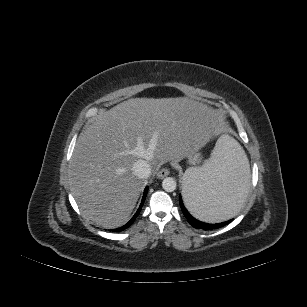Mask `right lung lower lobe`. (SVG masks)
I'll return each mask as SVG.
<instances>
[{"mask_svg":"<svg viewBox=\"0 0 307 307\" xmlns=\"http://www.w3.org/2000/svg\"><path fill=\"white\" fill-rule=\"evenodd\" d=\"M148 192V187L145 188V191H144V195H143V198H142V202L140 204V207L139 209L137 210V212L135 213V215L132 217V219L127 223L125 224L124 226L118 228V229H114L112 230L113 232H116V231H123L125 230L126 228H128L135 220V218L138 216V214L140 213L141 209H142V206L144 204V201H145V198H146V194Z\"/></svg>","mask_w":307,"mask_h":307,"instance_id":"1","label":"right lung lower lobe"}]
</instances>
